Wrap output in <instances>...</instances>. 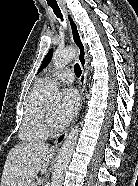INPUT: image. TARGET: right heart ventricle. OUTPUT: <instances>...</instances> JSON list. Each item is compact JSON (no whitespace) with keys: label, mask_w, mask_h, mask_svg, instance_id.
<instances>
[{"label":"right heart ventricle","mask_w":138,"mask_h":186,"mask_svg":"<svg viewBox=\"0 0 138 186\" xmlns=\"http://www.w3.org/2000/svg\"><path fill=\"white\" fill-rule=\"evenodd\" d=\"M46 86L42 81L38 82L27 100L19 131L21 140L26 143L43 141L49 136L44 121L46 107L42 100Z\"/></svg>","instance_id":"e07e8e85"}]
</instances>
